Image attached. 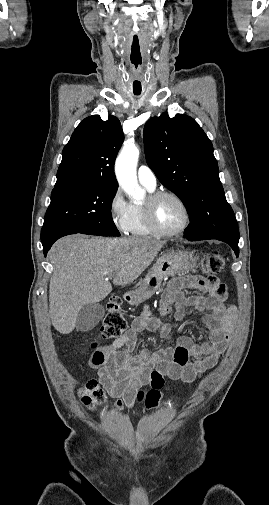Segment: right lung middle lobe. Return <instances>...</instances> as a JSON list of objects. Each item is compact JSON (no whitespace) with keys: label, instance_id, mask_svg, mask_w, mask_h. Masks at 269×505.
I'll use <instances>...</instances> for the list:
<instances>
[{"label":"right lung middle lobe","instance_id":"obj_1","mask_svg":"<svg viewBox=\"0 0 269 505\" xmlns=\"http://www.w3.org/2000/svg\"><path fill=\"white\" fill-rule=\"evenodd\" d=\"M117 187L99 184H70L55 187L46 211L41 239L59 230L119 236L111 204Z\"/></svg>","mask_w":269,"mask_h":505}]
</instances>
